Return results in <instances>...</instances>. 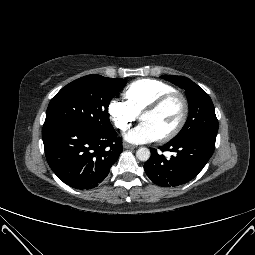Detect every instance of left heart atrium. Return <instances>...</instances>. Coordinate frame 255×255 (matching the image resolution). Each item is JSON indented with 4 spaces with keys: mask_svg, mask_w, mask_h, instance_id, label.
Segmentation results:
<instances>
[{
    "mask_svg": "<svg viewBox=\"0 0 255 255\" xmlns=\"http://www.w3.org/2000/svg\"><path fill=\"white\" fill-rule=\"evenodd\" d=\"M127 141L135 144L150 143L158 140L160 137L157 132L146 122L140 123L125 135Z\"/></svg>",
    "mask_w": 255,
    "mask_h": 255,
    "instance_id": "obj_1",
    "label": "left heart atrium"
}]
</instances>
